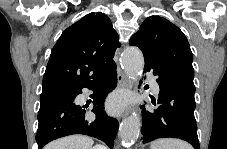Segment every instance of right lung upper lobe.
Returning a JSON list of instances; mask_svg holds the SVG:
<instances>
[{
    "mask_svg": "<svg viewBox=\"0 0 227 149\" xmlns=\"http://www.w3.org/2000/svg\"><path fill=\"white\" fill-rule=\"evenodd\" d=\"M118 34L103 13H90L68 27L54 45L43 77V89L76 87L99 75L120 46Z\"/></svg>",
    "mask_w": 227,
    "mask_h": 149,
    "instance_id": "right-lung-upper-lobe-1",
    "label": "right lung upper lobe"
}]
</instances>
